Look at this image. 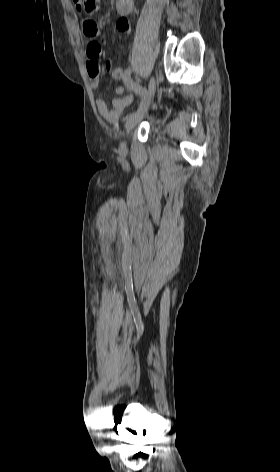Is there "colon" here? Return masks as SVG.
<instances>
[{
	"label": "colon",
	"mask_w": 280,
	"mask_h": 472,
	"mask_svg": "<svg viewBox=\"0 0 280 472\" xmlns=\"http://www.w3.org/2000/svg\"><path fill=\"white\" fill-rule=\"evenodd\" d=\"M75 4H78L82 7L87 13H93L97 10L100 0H73ZM108 70L110 71L112 77L115 80H120L122 78L123 69L119 66L108 65Z\"/></svg>",
	"instance_id": "colon-1"
}]
</instances>
